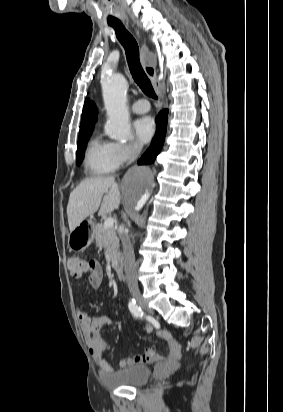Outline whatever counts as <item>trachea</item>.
I'll use <instances>...</instances> for the list:
<instances>
[{
  "label": "trachea",
  "instance_id": "obj_1",
  "mask_svg": "<svg viewBox=\"0 0 283 412\" xmlns=\"http://www.w3.org/2000/svg\"><path fill=\"white\" fill-rule=\"evenodd\" d=\"M109 25L115 29L116 36L125 49L128 66L134 81L145 95L157 99L152 84L141 66L139 59V47L136 40L125 29L121 22L110 23Z\"/></svg>",
  "mask_w": 283,
  "mask_h": 412
}]
</instances>
